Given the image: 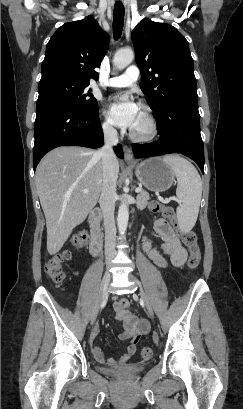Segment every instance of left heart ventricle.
I'll use <instances>...</instances> for the list:
<instances>
[{"label": "left heart ventricle", "mask_w": 243, "mask_h": 409, "mask_svg": "<svg viewBox=\"0 0 243 409\" xmlns=\"http://www.w3.org/2000/svg\"><path fill=\"white\" fill-rule=\"evenodd\" d=\"M131 130L138 134H144L148 130V124L146 121V117L141 108H138L136 120Z\"/></svg>", "instance_id": "b2bd125f"}]
</instances>
